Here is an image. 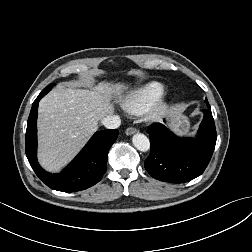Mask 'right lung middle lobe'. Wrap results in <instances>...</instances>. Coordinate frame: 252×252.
Wrapping results in <instances>:
<instances>
[{"mask_svg": "<svg viewBox=\"0 0 252 252\" xmlns=\"http://www.w3.org/2000/svg\"><path fill=\"white\" fill-rule=\"evenodd\" d=\"M53 86H54V84L48 85V86L42 91V93L47 94V93L52 89Z\"/></svg>", "mask_w": 252, "mask_h": 252, "instance_id": "right-lung-middle-lobe-1", "label": "right lung middle lobe"}]
</instances>
